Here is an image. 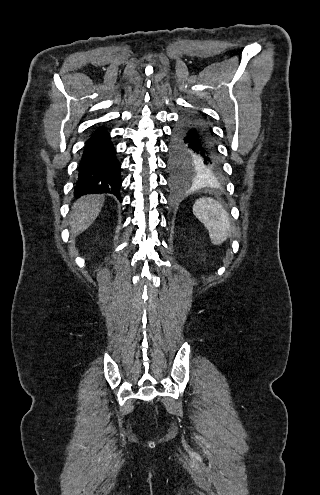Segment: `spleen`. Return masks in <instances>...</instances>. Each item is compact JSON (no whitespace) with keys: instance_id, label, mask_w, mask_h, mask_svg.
Returning a JSON list of instances; mask_svg holds the SVG:
<instances>
[{"instance_id":"spleen-1","label":"spleen","mask_w":320,"mask_h":495,"mask_svg":"<svg viewBox=\"0 0 320 495\" xmlns=\"http://www.w3.org/2000/svg\"><path fill=\"white\" fill-rule=\"evenodd\" d=\"M193 213L208 230L212 244L221 245L230 237L229 214L218 201L202 197L193 205Z\"/></svg>"}]
</instances>
